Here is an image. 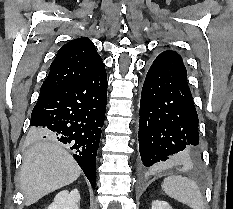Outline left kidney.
I'll use <instances>...</instances> for the list:
<instances>
[{
	"instance_id": "left-kidney-1",
	"label": "left kidney",
	"mask_w": 233,
	"mask_h": 209,
	"mask_svg": "<svg viewBox=\"0 0 233 209\" xmlns=\"http://www.w3.org/2000/svg\"><path fill=\"white\" fill-rule=\"evenodd\" d=\"M151 209H173L167 202L154 200Z\"/></svg>"
}]
</instances>
